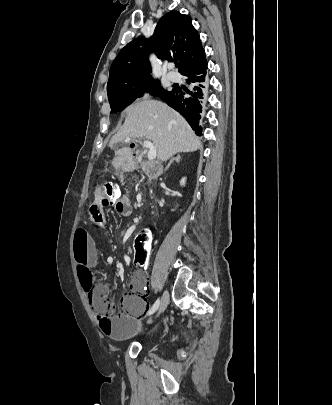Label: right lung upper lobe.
Returning <instances> with one entry per match:
<instances>
[{"label":"right lung upper lobe","instance_id":"obj_1","mask_svg":"<svg viewBox=\"0 0 332 405\" xmlns=\"http://www.w3.org/2000/svg\"><path fill=\"white\" fill-rule=\"evenodd\" d=\"M152 50L162 59H177L181 64L180 73L205 58L191 17L171 11L159 20L149 40L138 37L119 52L110 68L107 90L128 79L152 77L149 62Z\"/></svg>","mask_w":332,"mask_h":405}]
</instances>
